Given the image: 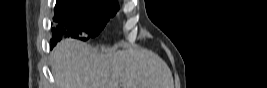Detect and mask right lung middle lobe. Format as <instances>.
<instances>
[{
  "mask_svg": "<svg viewBox=\"0 0 267 88\" xmlns=\"http://www.w3.org/2000/svg\"><path fill=\"white\" fill-rule=\"evenodd\" d=\"M118 10V2L110 0H58L54 21L66 28V36L86 41L97 36ZM61 37V31L55 30L51 41Z\"/></svg>",
  "mask_w": 267,
  "mask_h": 88,
  "instance_id": "right-lung-middle-lobe-1",
  "label": "right lung middle lobe"
}]
</instances>
